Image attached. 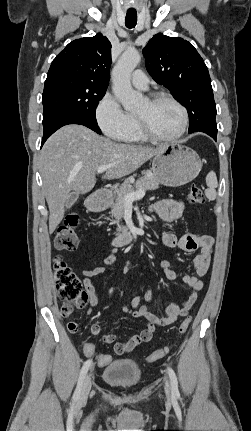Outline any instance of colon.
Returning a JSON list of instances; mask_svg holds the SVG:
<instances>
[{"mask_svg": "<svg viewBox=\"0 0 251 431\" xmlns=\"http://www.w3.org/2000/svg\"><path fill=\"white\" fill-rule=\"evenodd\" d=\"M188 200L192 205H202L205 203V196L202 189L198 185H191L188 192ZM78 217L75 215L68 216L66 220L57 228L55 236V246L60 250H74L78 245L77 234ZM54 279L56 289L60 298L64 301L61 307L63 316H68L72 313L73 308H82L88 301L87 293L84 291L80 279L68 266V264L59 257L54 259L53 263ZM191 323V317H187L180 324L178 332L179 335H184ZM68 328L74 330L77 328L75 323H69ZM84 356L89 360H96L95 367L98 370L105 369L106 365L113 362V353H104L103 351H96V346L90 342L85 341L83 344ZM170 347H164L151 353L147 357L148 362H155L163 358L169 353Z\"/></svg>", "mask_w": 251, "mask_h": 431, "instance_id": "obj_1", "label": "colon"}]
</instances>
